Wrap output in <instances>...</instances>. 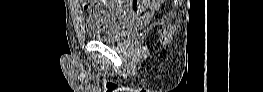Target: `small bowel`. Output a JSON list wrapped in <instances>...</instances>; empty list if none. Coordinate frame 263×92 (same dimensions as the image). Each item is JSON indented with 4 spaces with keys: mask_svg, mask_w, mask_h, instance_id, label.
Returning a JSON list of instances; mask_svg holds the SVG:
<instances>
[{
    "mask_svg": "<svg viewBox=\"0 0 263 92\" xmlns=\"http://www.w3.org/2000/svg\"><path fill=\"white\" fill-rule=\"evenodd\" d=\"M75 4H78V2H76V1H73Z\"/></svg>",
    "mask_w": 263,
    "mask_h": 92,
    "instance_id": "small-bowel-1",
    "label": "small bowel"
}]
</instances>
